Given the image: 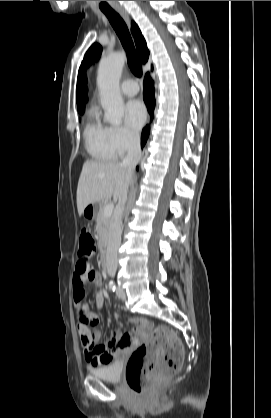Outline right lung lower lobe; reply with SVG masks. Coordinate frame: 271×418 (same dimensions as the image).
Wrapping results in <instances>:
<instances>
[{
  "instance_id": "obj_1",
  "label": "right lung lower lobe",
  "mask_w": 271,
  "mask_h": 418,
  "mask_svg": "<svg viewBox=\"0 0 271 418\" xmlns=\"http://www.w3.org/2000/svg\"><path fill=\"white\" fill-rule=\"evenodd\" d=\"M143 97L144 101L147 105L148 111L153 116L154 107H155V98H154V84L153 81L149 75V73L146 74L144 79V91H143ZM150 132V126L147 125L143 131H142V137H141V147L145 145L147 138L149 136Z\"/></svg>"
}]
</instances>
